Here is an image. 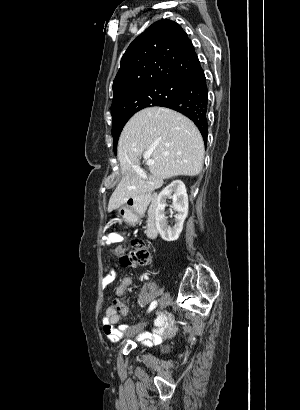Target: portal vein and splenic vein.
I'll return each instance as SVG.
<instances>
[{"label": "portal vein and splenic vein", "instance_id": "1", "mask_svg": "<svg viewBox=\"0 0 300 410\" xmlns=\"http://www.w3.org/2000/svg\"><path fill=\"white\" fill-rule=\"evenodd\" d=\"M151 156V152H146L143 155L144 160L146 161L147 165H152L154 164V161L152 159H150Z\"/></svg>", "mask_w": 300, "mask_h": 410}]
</instances>
